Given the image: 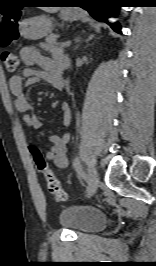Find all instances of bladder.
<instances>
[{
    "instance_id": "1",
    "label": "bladder",
    "mask_w": 156,
    "mask_h": 266,
    "mask_svg": "<svg viewBox=\"0 0 156 266\" xmlns=\"http://www.w3.org/2000/svg\"><path fill=\"white\" fill-rule=\"evenodd\" d=\"M59 223L76 233H88L101 230L106 225V217L97 208L73 204L60 211Z\"/></svg>"
}]
</instances>
